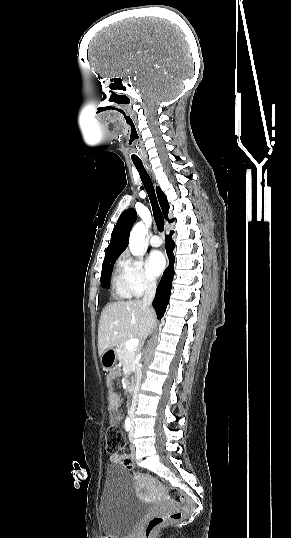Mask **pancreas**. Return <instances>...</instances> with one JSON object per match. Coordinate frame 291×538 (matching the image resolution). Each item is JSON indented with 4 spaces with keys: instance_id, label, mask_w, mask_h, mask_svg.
<instances>
[{
    "instance_id": "1",
    "label": "pancreas",
    "mask_w": 291,
    "mask_h": 538,
    "mask_svg": "<svg viewBox=\"0 0 291 538\" xmlns=\"http://www.w3.org/2000/svg\"><path fill=\"white\" fill-rule=\"evenodd\" d=\"M138 353V349L129 350L126 347V341H123L116 347V354L118 360L123 365L125 372H132L135 369V357Z\"/></svg>"
}]
</instances>
